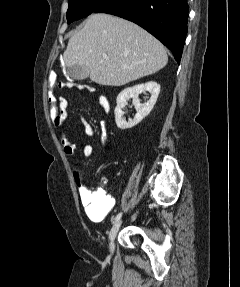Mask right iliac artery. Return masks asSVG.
Returning <instances> with one entry per match:
<instances>
[{"instance_id": "right-iliac-artery-1", "label": "right iliac artery", "mask_w": 240, "mask_h": 287, "mask_svg": "<svg viewBox=\"0 0 240 287\" xmlns=\"http://www.w3.org/2000/svg\"><path fill=\"white\" fill-rule=\"evenodd\" d=\"M121 216H122V213H121V212H120L119 214H117V215H116V217L114 218L113 223H115V222L119 221V220H120V218H121Z\"/></svg>"}]
</instances>
